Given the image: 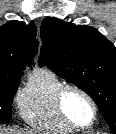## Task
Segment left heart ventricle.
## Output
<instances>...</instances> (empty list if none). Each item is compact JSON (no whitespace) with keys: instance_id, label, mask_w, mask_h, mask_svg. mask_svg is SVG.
<instances>
[{"instance_id":"1","label":"left heart ventricle","mask_w":116,"mask_h":134,"mask_svg":"<svg viewBox=\"0 0 116 134\" xmlns=\"http://www.w3.org/2000/svg\"><path fill=\"white\" fill-rule=\"evenodd\" d=\"M64 107L71 119L80 125L91 122L93 112L89 102L79 93L69 91L64 99Z\"/></svg>"}]
</instances>
